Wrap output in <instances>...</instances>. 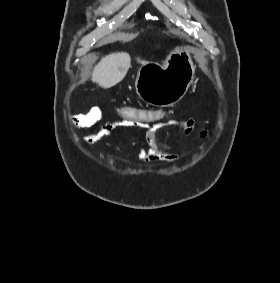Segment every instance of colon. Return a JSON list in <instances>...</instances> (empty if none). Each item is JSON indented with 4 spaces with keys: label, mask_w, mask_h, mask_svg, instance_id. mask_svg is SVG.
I'll return each instance as SVG.
<instances>
[{
    "label": "colon",
    "mask_w": 280,
    "mask_h": 283,
    "mask_svg": "<svg viewBox=\"0 0 280 283\" xmlns=\"http://www.w3.org/2000/svg\"><path fill=\"white\" fill-rule=\"evenodd\" d=\"M116 118L121 122H143L144 125H154L155 122H162L168 119L172 112L168 108H147L139 105H124L115 108Z\"/></svg>",
    "instance_id": "1"
}]
</instances>
